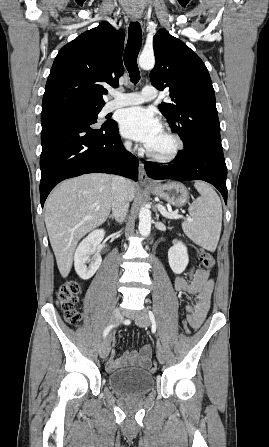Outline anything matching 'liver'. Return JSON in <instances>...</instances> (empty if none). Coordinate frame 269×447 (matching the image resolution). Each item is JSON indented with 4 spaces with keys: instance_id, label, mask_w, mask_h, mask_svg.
Returning a JSON list of instances; mask_svg holds the SVG:
<instances>
[{
    "instance_id": "obj_1",
    "label": "liver",
    "mask_w": 269,
    "mask_h": 447,
    "mask_svg": "<svg viewBox=\"0 0 269 447\" xmlns=\"http://www.w3.org/2000/svg\"><path fill=\"white\" fill-rule=\"evenodd\" d=\"M112 176L87 174L59 184L45 204V224L62 277H67L75 247L88 231L106 222L112 204ZM129 202L135 184L128 180Z\"/></svg>"
}]
</instances>
